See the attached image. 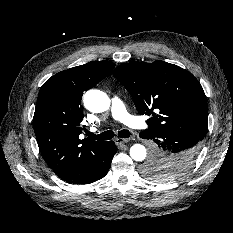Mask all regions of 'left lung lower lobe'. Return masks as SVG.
Here are the masks:
<instances>
[{"label": "left lung lower lobe", "mask_w": 233, "mask_h": 233, "mask_svg": "<svg viewBox=\"0 0 233 233\" xmlns=\"http://www.w3.org/2000/svg\"><path fill=\"white\" fill-rule=\"evenodd\" d=\"M139 136L155 142L153 157L166 162L172 171L159 173V177L170 181L183 176L195 161L201 141L196 133L185 130H144Z\"/></svg>", "instance_id": "1"}]
</instances>
